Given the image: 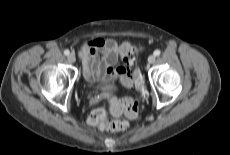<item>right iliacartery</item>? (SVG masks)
<instances>
[{
    "label": "right iliac artery",
    "mask_w": 230,
    "mask_h": 155,
    "mask_svg": "<svg viewBox=\"0 0 230 155\" xmlns=\"http://www.w3.org/2000/svg\"><path fill=\"white\" fill-rule=\"evenodd\" d=\"M69 53H70L69 50H65V51H64V54H65V55H69Z\"/></svg>",
    "instance_id": "right-iliac-artery-1"
}]
</instances>
